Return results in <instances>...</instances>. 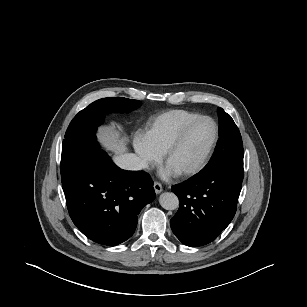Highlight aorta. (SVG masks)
Returning <instances> with one entry per match:
<instances>
[{"label": "aorta", "instance_id": "obj_1", "mask_svg": "<svg viewBox=\"0 0 307 307\" xmlns=\"http://www.w3.org/2000/svg\"><path fill=\"white\" fill-rule=\"evenodd\" d=\"M160 205L166 210H175L179 207V199L172 192H164L159 197Z\"/></svg>", "mask_w": 307, "mask_h": 307}]
</instances>
